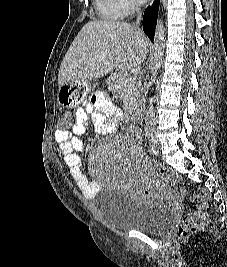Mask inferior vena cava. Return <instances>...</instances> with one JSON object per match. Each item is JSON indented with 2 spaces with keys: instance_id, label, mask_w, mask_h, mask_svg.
Listing matches in <instances>:
<instances>
[{
  "instance_id": "602c4592",
  "label": "inferior vena cava",
  "mask_w": 227,
  "mask_h": 267,
  "mask_svg": "<svg viewBox=\"0 0 227 267\" xmlns=\"http://www.w3.org/2000/svg\"><path fill=\"white\" fill-rule=\"evenodd\" d=\"M139 10L140 9L137 7L138 17L136 21V26L139 25L142 17V14ZM155 129H156V118L153 110V100L149 99V105L146 111V134L150 135L155 133Z\"/></svg>"
}]
</instances>
